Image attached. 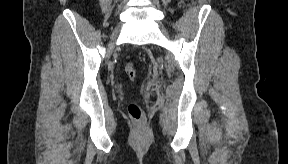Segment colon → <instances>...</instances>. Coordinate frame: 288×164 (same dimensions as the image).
Masks as SVG:
<instances>
[{
    "label": "colon",
    "mask_w": 288,
    "mask_h": 164,
    "mask_svg": "<svg viewBox=\"0 0 288 164\" xmlns=\"http://www.w3.org/2000/svg\"><path fill=\"white\" fill-rule=\"evenodd\" d=\"M126 75L133 80L136 76V69L132 63H127L124 66ZM129 114L132 116V120H143L142 110L137 103H131L128 107Z\"/></svg>",
    "instance_id": "5ec220e1"
}]
</instances>
